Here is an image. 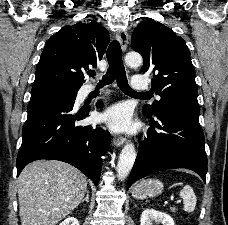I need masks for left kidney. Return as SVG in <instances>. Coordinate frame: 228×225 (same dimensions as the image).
Returning <instances> with one entry per match:
<instances>
[{"mask_svg": "<svg viewBox=\"0 0 228 225\" xmlns=\"http://www.w3.org/2000/svg\"><path fill=\"white\" fill-rule=\"evenodd\" d=\"M162 223V225H175L172 217L166 213H160L155 209H145L141 215L140 225H153V223Z\"/></svg>", "mask_w": 228, "mask_h": 225, "instance_id": "1", "label": "left kidney"}]
</instances>
